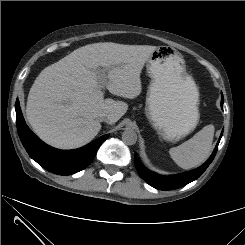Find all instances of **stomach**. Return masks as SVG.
I'll use <instances>...</instances> for the list:
<instances>
[{
    "mask_svg": "<svg viewBox=\"0 0 245 245\" xmlns=\"http://www.w3.org/2000/svg\"><path fill=\"white\" fill-rule=\"evenodd\" d=\"M151 78L145 113L163 139L175 142L190 134L200 118L199 91L180 52L159 46L146 61Z\"/></svg>",
    "mask_w": 245,
    "mask_h": 245,
    "instance_id": "1",
    "label": "stomach"
}]
</instances>
